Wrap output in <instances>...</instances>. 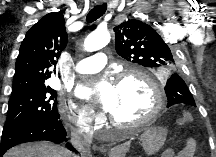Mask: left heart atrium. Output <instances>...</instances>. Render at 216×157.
<instances>
[{
	"label": "left heart atrium",
	"instance_id": "left-heart-atrium-1",
	"mask_svg": "<svg viewBox=\"0 0 216 157\" xmlns=\"http://www.w3.org/2000/svg\"><path fill=\"white\" fill-rule=\"evenodd\" d=\"M115 87L106 79H101L91 86H81L77 95L85 100L96 99L105 111L111 112L114 105Z\"/></svg>",
	"mask_w": 216,
	"mask_h": 157
}]
</instances>
